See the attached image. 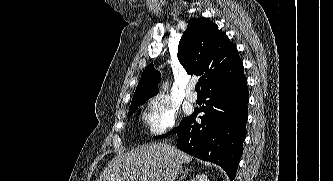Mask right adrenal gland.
<instances>
[{
  "mask_svg": "<svg viewBox=\"0 0 333 181\" xmlns=\"http://www.w3.org/2000/svg\"><path fill=\"white\" fill-rule=\"evenodd\" d=\"M190 170H192V169L185 168V170H181L180 173L182 174V176L179 178L178 181H182L187 176V174Z\"/></svg>",
  "mask_w": 333,
  "mask_h": 181,
  "instance_id": "2a0ac1e0",
  "label": "right adrenal gland"
}]
</instances>
